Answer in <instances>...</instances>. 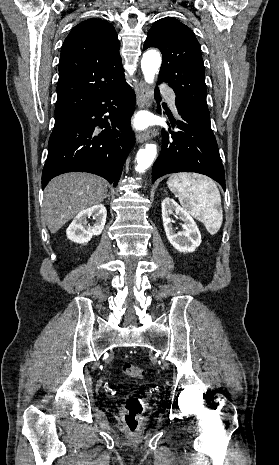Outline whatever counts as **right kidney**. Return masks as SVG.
I'll use <instances>...</instances> for the list:
<instances>
[{"label":"right kidney","mask_w":279,"mask_h":465,"mask_svg":"<svg viewBox=\"0 0 279 465\" xmlns=\"http://www.w3.org/2000/svg\"><path fill=\"white\" fill-rule=\"evenodd\" d=\"M93 217L95 224L90 225L87 219ZM107 217V210L103 204H97L79 212L66 230L69 240L85 244L89 242L92 236H98L102 233Z\"/></svg>","instance_id":"obj_1"}]
</instances>
